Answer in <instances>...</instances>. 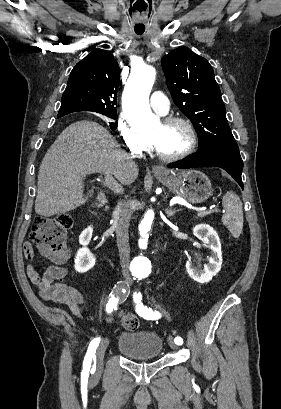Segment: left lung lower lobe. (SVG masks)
<instances>
[{"label": "left lung lower lobe", "mask_w": 281, "mask_h": 409, "mask_svg": "<svg viewBox=\"0 0 281 409\" xmlns=\"http://www.w3.org/2000/svg\"><path fill=\"white\" fill-rule=\"evenodd\" d=\"M195 167H220L226 170L241 186L243 183L241 173L243 161L239 150L204 148L188 157L186 160L171 164L169 168H195Z\"/></svg>", "instance_id": "left-lung-lower-lobe-1"}]
</instances>
